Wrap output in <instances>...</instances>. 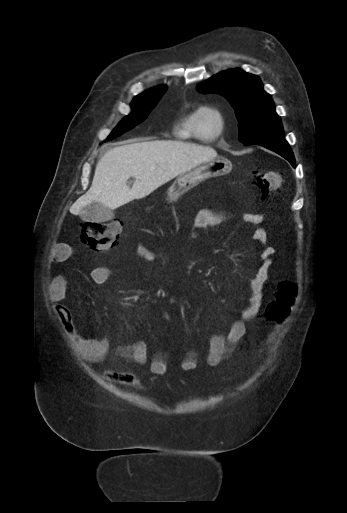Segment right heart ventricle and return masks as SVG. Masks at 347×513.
<instances>
[{
  "label": "right heart ventricle",
  "mask_w": 347,
  "mask_h": 513,
  "mask_svg": "<svg viewBox=\"0 0 347 513\" xmlns=\"http://www.w3.org/2000/svg\"><path fill=\"white\" fill-rule=\"evenodd\" d=\"M198 108H195L186 113L180 120L176 128V136L180 139L189 140L196 139L200 141H210L205 135L199 134L195 130V118Z\"/></svg>",
  "instance_id": "obj_1"
}]
</instances>
